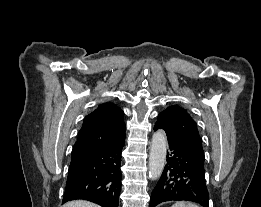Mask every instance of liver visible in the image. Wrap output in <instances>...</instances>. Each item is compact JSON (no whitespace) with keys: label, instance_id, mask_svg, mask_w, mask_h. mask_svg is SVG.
<instances>
[{"label":"liver","instance_id":"liver-1","mask_svg":"<svg viewBox=\"0 0 261 207\" xmlns=\"http://www.w3.org/2000/svg\"><path fill=\"white\" fill-rule=\"evenodd\" d=\"M63 207H100V206L84 200H75L66 203Z\"/></svg>","mask_w":261,"mask_h":207}]
</instances>
